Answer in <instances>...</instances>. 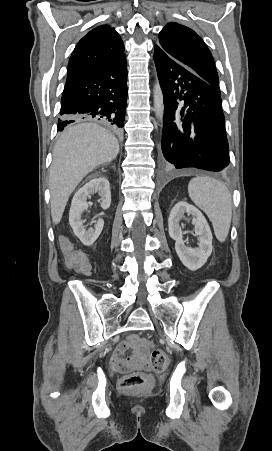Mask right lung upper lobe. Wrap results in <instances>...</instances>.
Instances as JSON below:
<instances>
[{
  "label": "right lung upper lobe",
  "mask_w": 272,
  "mask_h": 451,
  "mask_svg": "<svg viewBox=\"0 0 272 451\" xmlns=\"http://www.w3.org/2000/svg\"><path fill=\"white\" fill-rule=\"evenodd\" d=\"M124 55L119 34L107 25L91 30L75 47L68 66V76L108 64Z\"/></svg>",
  "instance_id": "1"
}]
</instances>
